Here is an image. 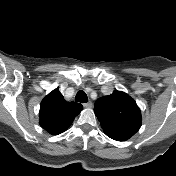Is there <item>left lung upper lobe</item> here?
Returning <instances> with one entry per match:
<instances>
[{"label": "left lung upper lobe", "instance_id": "obj_1", "mask_svg": "<svg viewBox=\"0 0 176 176\" xmlns=\"http://www.w3.org/2000/svg\"><path fill=\"white\" fill-rule=\"evenodd\" d=\"M94 112L106 135L117 141L132 137L141 127V112L136 102L126 93L115 90L99 98Z\"/></svg>", "mask_w": 176, "mask_h": 176}]
</instances>
